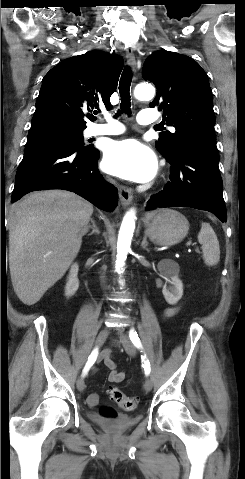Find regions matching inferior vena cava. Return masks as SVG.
<instances>
[{
    "mask_svg": "<svg viewBox=\"0 0 245 479\" xmlns=\"http://www.w3.org/2000/svg\"><path fill=\"white\" fill-rule=\"evenodd\" d=\"M101 281H102V283L104 282V276H101Z\"/></svg>",
    "mask_w": 245,
    "mask_h": 479,
    "instance_id": "obj_1",
    "label": "inferior vena cava"
}]
</instances>
